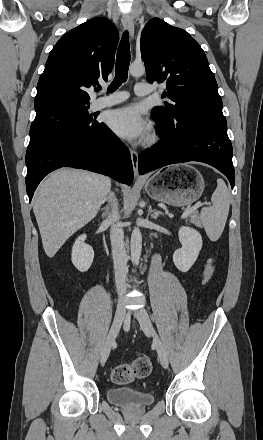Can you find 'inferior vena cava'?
I'll use <instances>...</instances> for the list:
<instances>
[{
    "label": "inferior vena cava",
    "mask_w": 263,
    "mask_h": 440,
    "mask_svg": "<svg viewBox=\"0 0 263 440\" xmlns=\"http://www.w3.org/2000/svg\"><path fill=\"white\" fill-rule=\"evenodd\" d=\"M111 213L108 214L107 222L113 225L110 231L112 256L114 262L115 282L118 294L122 296L126 292L127 254L124 245V232L118 226L119 213L118 203L113 193H110Z\"/></svg>",
    "instance_id": "602c4592"
}]
</instances>
